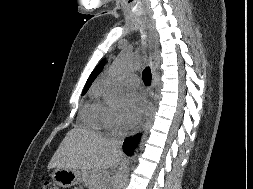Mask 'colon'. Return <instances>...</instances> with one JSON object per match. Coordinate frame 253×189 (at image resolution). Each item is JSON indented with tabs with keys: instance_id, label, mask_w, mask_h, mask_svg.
<instances>
[{
	"instance_id": "colon-1",
	"label": "colon",
	"mask_w": 253,
	"mask_h": 189,
	"mask_svg": "<svg viewBox=\"0 0 253 189\" xmlns=\"http://www.w3.org/2000/svg\"><path fill=\"white\" fill-rule=\"evenodd\" d=\"M43 189H59V187L52 181H46L43 185Z\"/></svg>"
}]
</instances>
